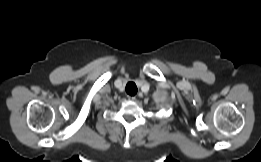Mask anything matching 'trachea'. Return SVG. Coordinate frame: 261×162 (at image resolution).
<instances>
[{"mask_svg": "<svg viewBox=\"0 0 261 162\" xmlns=\"http://www.w3.org/2000/svg\"><path fill=\"white\" fill-rule=\"evenodd\" d=\"M126 92L127 94L134 96L137 93V86L134 82H129L126 85Z\"/></svg>", "mask_w": 261, "mask_h": 162, "instance_id": "obj_1", "label": "trachea"}]
</instances>
